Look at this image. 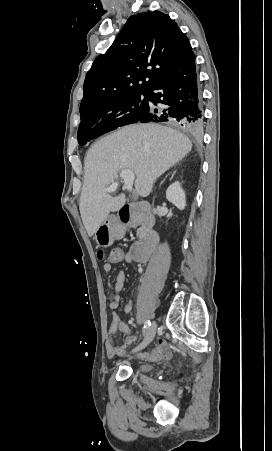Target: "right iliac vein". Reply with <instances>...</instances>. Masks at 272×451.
I'll use <instances>...</instances> for the list:
<instances>
[{
    "instance_id": "63e3f726",
    "label": "right iliac vein",
    "mask_w": 272,
    "mask_h": 451,
    "mask_svg": "<svg viewBox=\"0 0 272 451\" xmlns=\"http://www.w3.org/2000/svg\"><path fill=\"white\" fill-rule=\"evenodd\" d=\"M155 334H156V323L153 322L150 328L148 329L143 342L140 345H138V347L135 350H141L145 348L153 340Z\"/></svg>"
}]
</instances>
